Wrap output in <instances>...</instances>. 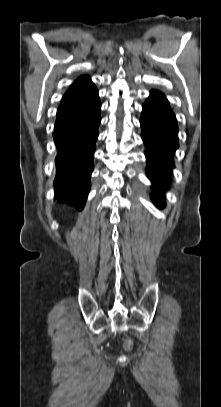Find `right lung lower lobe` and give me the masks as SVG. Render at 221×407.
I'll use <instances>...</instances> for the list:
<instances>
[{
    "mask_svg": "<svg viewBox=\"0 0 221 407\" xmlns=\"http://www.w3.org/2000/svg\"><path fill=\"white\" fill-rule=\"evenodd\" d=\"M101 104L95 86L62 98L57 111L55 199L82 210L90 189Z\"/></svg>",
    "mask_w": 221,
    "mask_h": 407,
    "instance_id": "1",
    "label": "right lung lower lobe"
}]
</instances>
